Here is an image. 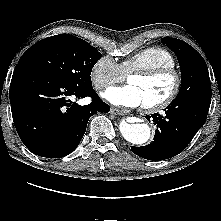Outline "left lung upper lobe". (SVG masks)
<instances>
[{
  "mask_svg": "<svg viewBox=\"0 0 221 221\" xmlns=\"http://www.w3.org/2000/svg\"><path fill=\"white\" fill-rule=\"evenodd\" d=\"M161 41L176 54L182 71L181 88L173 101L186 100L211 89L207 65L193 47L176 38L165 37Z\"/></svg>",
  "mask_w": 221,
  "mask_h": 221,
  "instance_id": "left-lung-upper-lobe-1",
  "label": "left lung upper lobe"
}]
</instances>
